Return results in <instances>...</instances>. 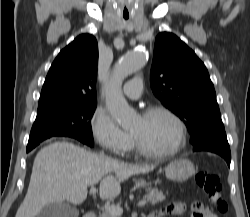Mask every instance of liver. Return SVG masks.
Masks as SVG:
<instances>
[{"instance_id":"6515ba94","label":"liver","mask_w":250,"mask_h":217,"mask_svg":"<svg viewBox=\"0 0 250 217\" xmlns=\"http://www.w3.org/2000/svg\"><path fill=\"white\" fill-rule=\"evenodd\" d=\"M153 169V165H132L94 154L70 142H54L37 153L16 217H35L45 206L65 200L79 205L87 198L88 187L99 182L100 198H115L121 182Z\"/></svg>"}]
</instances>
